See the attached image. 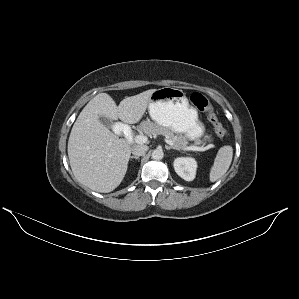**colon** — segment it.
<instances>
[{
    "label": "colon",
    "mask_w": 299,
    "mask_h": 299,
    "mask_svg": "<svg viewBox=\"0 0 299 299\" xmlns=\"http://www.w3.org/2000/svg\"><path fill=\"white\" fill-rule=\"evenodd\" d=\"M190 100L192 104L200 111L205 112L209 121L214 126L215 132L219 137H224L227 134L226 127L219 121L213 106L208 99L201 93L195 92L191 95Z\"/></svg>",
    "instance_id": "5ec220e1"
}]
</instances>
